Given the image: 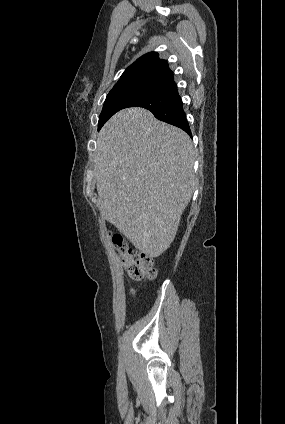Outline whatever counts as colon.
Segmentation results:
<instances>
[{
    "mask_svg": "<svg viewBox=\"0 0 285 424\" xmlns=\"http://www.w3.org/2000/svg\"><path fill=\"white\" fill-rule=\"evenodd\" d=\"M111 241L131 279L153 280L156 277L157 270L152 256L131 248L119 233H112Z\"/></svg>",
    "mask_w": 285,
    "mask_h": 424,
    "instance_id": "5ec220e1",
    "label": "colon"
}]
</instances>
